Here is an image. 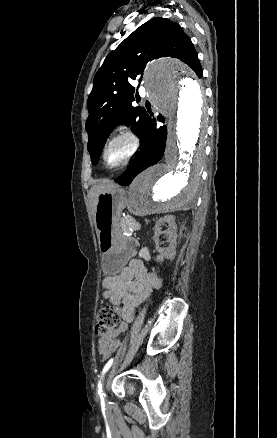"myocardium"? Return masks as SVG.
Masks as SVG:
<instances>
[{"label": "myocardium", "mask_w": 277, "mask_h": 438, "mask_svg": "<svg viewBox=\"0 0 277 438\" xmlns=\"http://www.w3.org/2000/svg\"><path fill=\"white\" fill-rule=\"evenodd\" d=\"M120 140H126L128 142L129 144L128 152L121 162L115 165H109L106 160L107 151L112 144ZM139 149H140V139L138 135L131 129H125L118 132L108 140L102 151V156H101L102 161L104 165L110 170L120 169L128 165L135 158Z\"/></svg>", "instance_id": "obj_1"}]
</instances>
